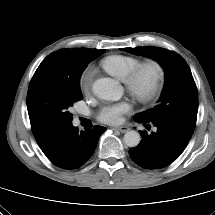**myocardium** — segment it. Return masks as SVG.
Wrapping results in <instances>:
<instances>
[{
  "label": "myocardium",
  "mask_w": 215,
  "mask_h": 215,
  "mask_svg": "<svg viewBox=\"0 0 215 215\" xmlns=\"http://www.w3.org/2000/svg\"><path fill=\"white\" fill-rule=\"evenodd\" d=\"M152 72L151 82L147 87L141 84V77L145 71ZM165 69L162 63L156 59H147L139 62L124 79L127 91L139 102L149 103L153 101L161 91Z\"/></svg>",
  "instance_id": "obj_1"
}]
</instances>
